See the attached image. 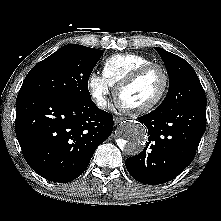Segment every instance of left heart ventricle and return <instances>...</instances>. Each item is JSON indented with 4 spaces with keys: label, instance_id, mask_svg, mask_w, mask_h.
<instances>
[{
    "label": "left heart ventricle",
    "instance_id": "1",
    "mask_svg": "<svg viewBox=\"0 0 221 221\" xmlns=\"http://www.w3.org/2000/svg\"><path fill=\"white\" fill-rule=\"evenodd\" d=\"M162 87L163 75L160 70L153 69L126 88L120 99L126 106H141L151 102L160 93Z\"/></svg>",
    "mask_w": 221,
    "mask_h": 221
}]
</instances>
